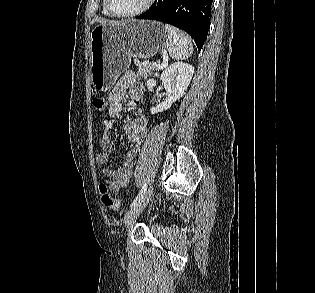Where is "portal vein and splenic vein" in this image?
I'll use <instances>...</instances> for the list:
<instances>
[{"label":"portal vein and splenic vein","instance_id":"obj_1","mask_svg":"<svg viewBox=\"0 0 315 293\" xmlns=\"http://www.w3.org/2000/svg\"><path fill=\"white\" fill-rule=\"evenodd\" d=\"M153 66L157 67L158 69H162V66L158 63H153Z\"/></svg>","mask_w":315,"mask_h":293}]
</instances>
